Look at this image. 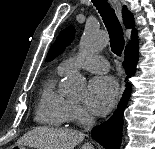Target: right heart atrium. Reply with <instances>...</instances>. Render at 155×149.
<instances>
[{
	"label": "right heart atrium",
	"instance_id": "obj_1",
	"mask_svg": "<svg viewBox=\"0 0 155 149\" xmlns=\"http://www.w3.org/2000/svg\"><path fill=\"white\" fill-rule=\"evenodd\" d=\"M69 121L79 125H85L92 121L91 116L86 110L77 103L70 102L69 104Z\"/></svg>",
	"mask_w": 155,
	"mask_h": 149
}]
</instances>
